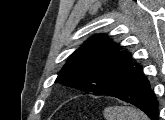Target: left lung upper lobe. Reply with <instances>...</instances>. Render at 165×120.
Masks as SVG:
<instances>
[{
    "mask_svg": "<svg viewBox=\"0 0 165 120\" xmlns=\"http://www.w3.org/2000/svg\"><path fill=\"white\" fill-rule=\"evenodd\" d=\"M132 64L131 55L99 34L77 49L60 71L56 83L94 95H109L123 81Z\"/></svg>",
    "mask_w": 165,
    "mask_h": 120,
    "instance_id": "obj_1",
    "label": "left lung upper lobe"
}]
</instances>
